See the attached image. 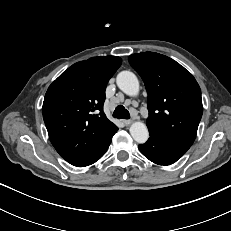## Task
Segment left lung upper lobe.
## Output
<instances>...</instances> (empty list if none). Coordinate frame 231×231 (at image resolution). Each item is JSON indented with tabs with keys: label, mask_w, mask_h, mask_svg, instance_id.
<instances>
[{
	"label": "left lung upper lobe",
	"mask_w": 231,
	"mask_h": 231,
	"mask_svg": "<svg viewBox=\"0 0 231 231\" xmlns=\"http://www.w3.org/2000/svg\"><path fill=\"white\" fill-rule=\"evenodd\" d=\"M129 63L148 92V130L190 148L203 112L195 78L173 59L154 52L133 54Z\"/></svg>",
	"instance_id": "obj_1"
}]
</instances>
